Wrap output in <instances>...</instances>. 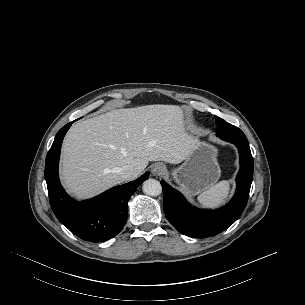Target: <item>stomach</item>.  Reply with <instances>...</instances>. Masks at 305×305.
Returning a JSON list of instances; mask_svg holds the SVG:
<instances>
[{
	"mask_svg": "<svg viewBox=\"0 0 305 305\" xmlns=\"http://www.w3.org/2000/svg\"><path fill=\"white\" fill-rule=\"evenodd\" d=\"M217 153L212 144L197 140L184 163L170 172L172 179L188 195L208 189L220 177Z\"/></svg>",
	"mask_w": 305,
	"mask_h": 305,
	"instance_id": "stomach-1",
	"label": "stomach"
}]
</instances>
